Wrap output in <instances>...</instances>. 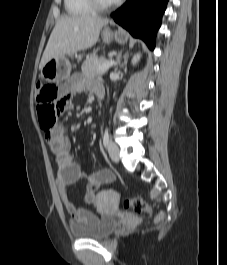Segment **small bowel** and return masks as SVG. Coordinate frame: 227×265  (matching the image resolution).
Returning <instances> with one entry per match:
<instances>
[{
    "label": "small bowel",
    "instance_id": "small-bowel-1",
    "mask_svg": "<svg viewBox=\"0 0 227 265\" xmlns=\"http://www.w3.org/2000/svg\"><path fill=\"white\" fill-rule=\"evenodd\" d=\"M63 98L57 100L58 112H70L73 108L71 97L85 92L92 91L97 94L103 87L100 83L83 77L81 74H74L67 82L59 81ZM46 142L57 161L56 184L60 199L74 222L80 224H90L99 217L94 212L77 205L70 197L68 188L79 180H85L84 194L81 203L91 204L97 200V190L103 184L113 180L114 175L107 169L95 172L81 170L78 163L71 155L70 140L60 125H54L45 132Z\"/></svg>",
    "mask_w": 227,
    "mask_h": 265
}]
</instances>
